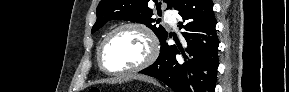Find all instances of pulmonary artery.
Returning a JSON list of instances; mask_svg holds the SVG:
<instances>
[{
    "label": "pulmonary artery",
    "mask_w": 289,
    "mask_h": 92,
    "mask_svg": "<svg viewBox=\"0 0 289 92\" xmlns=\"http://www.w3.org/2000/svg\"><path fill=\"white\" fill-rule=\"evenodd\" d=\"M164 18L172 27H176V16L173 11H166L164 14Z\"/></svg>",
    "instance_id": "pulmonary-artery-1"
}]
</instances>
